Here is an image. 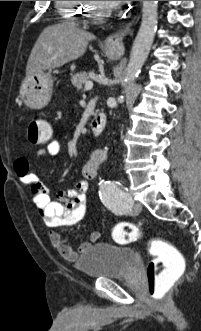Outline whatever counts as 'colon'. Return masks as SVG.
Here are the masks:
<instances>
[{
    "instance_id": "obj_1",
    "label": "colon",
    "mask_w": 201,
    "mask_h": 331,
    "mask_svg": "<svg viewBox=\"0 0 201 331\" xmlns=\"http://www.w3.org/2000/svg\"><path fill=\"white\" fill-rule=\"evenodd\" d=\"M28 139L31 144L48 143L52 137L50 124L33 117L27 124ZM142 230L135 224L122 222L114 226L112 236L118 243H129L142 237ZM153 258L147 265V288L149 296L159 305L169 301L171 293L184 273L185 260L181 253L169 242L154 238L150 243Z\"/></svg>"
}]
</instances>
